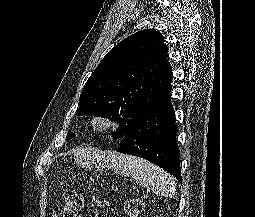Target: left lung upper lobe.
Wrapping results in <instances>:
<instances>
[{"mask_svg":"<svg viewBox=\"0 0 255 217\" xmlns=\"http://www.w3.org/2000/svg\"><path fill=\"white\" fill-rule=\"evenodd\" d=\"M168 47L161 33L144 29L128 36L101 60L79 98L77 115L117 120L114 138L135 121L172 82ZM75 136L69 132L67 141Z\"/></svg>","mask_w":255,"mask_h":217,"instance_id":"left-lung-upper-lobe-1","label":"left lung upper lobe"}]
</instances>
